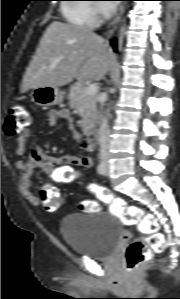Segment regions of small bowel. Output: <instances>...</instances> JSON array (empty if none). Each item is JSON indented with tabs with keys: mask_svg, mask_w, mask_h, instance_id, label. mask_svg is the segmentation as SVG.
<instances>
[{
	"mask_svg": "<svg viewBox=\"0 0 180 299\" xmlns=\"http://www.w3.org/2000/svg\"><path fill=\"white\" fill-rule=\"evenodd\" d=\"M68 122L73 137L79 142L80 147L85 152L93 149V142L90 139H81L80 135L74 130L72 118L67 109H52L47 113V121L51 127L56 126L59 121ZM32 133L29 129L24 130L16 139L15 154L22 157L25 153L26 141L31 137ZM92 165L89 157L64 156L52 157L45 154L40 148H34L27 161L18 160L17 169L21 174V187L29 202L35 206L40 204V199L32 193L31 176L36 168H40L43 172L53 176L58 182H68L75 169L78 167L87 168Z\"/></svg>",
	"mask_w": 180,
	"mask_h": 299,
	"instance_id": "1",
	"label": "small bowel"
}]
</instances>
